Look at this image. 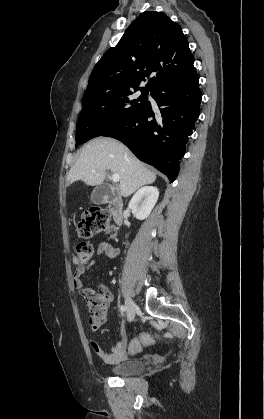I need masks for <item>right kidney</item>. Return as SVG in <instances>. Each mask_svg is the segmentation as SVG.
I'll list each match as a JSON object with an SVG mask.
<instances>
[{
	"label": "right kidney",
	"instance_id": "1",
	"mask_svg": "<svg viewBox=\"0 0 264 419\" xmlns=\"http://www.w3.org/2000/svg\"><path fill=\"white\" fill-rule=\"evenodd\" d=\"M159 197L156 187L145 186L140 188L129 202V209L139 220L146 219L154 208Z\"/></svg>",
	"mask_w": 264,
	"mask_h": 419
}]
</instances>
